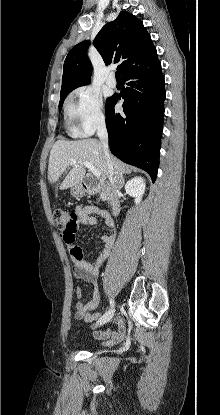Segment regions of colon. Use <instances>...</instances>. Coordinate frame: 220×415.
<instances>
[{
    "label": "colon",
    "instance_id": "colon-1",
    "mask_svg": "<svg viewBox=\"0 0 220 415\" xmlns=\"http://www.w3.org/2000/svg\"><path fill=\"white\" fill-rule=\"evenodd\" d=\"M74 220V214L66 210L58 209L54 212V221L56 225L61 231L67 232L69 239H73L74 233L70 226L74 223Z\"/></svg>",
    "mask_w": 220,
    "mask_h": 415
}]
</instances>
